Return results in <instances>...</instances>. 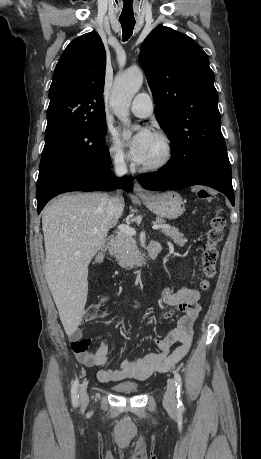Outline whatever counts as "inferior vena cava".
I'll use <instances>...</instances> for the list:
<instances>
[{
  "mask_svg": "<svg viewBox=\"0 0 261 459\" xmlns=\"http://www.w3.org/2000/svg\"><path fill=\"white\" fill-rule=\"evenodd\" d=\"M114 164H115V167H114L115 173L117 176L119 177L124 176L127 173V167H126V163L124 161L123 156H118L115 159ZM123 208H124V200L121 196L116 195V196L110 197L109 212L113 218L118 219L123 212Z\"/></svg>",
  "mask_w": 261,
  "mask_h": 459,
  "instance_id": "inferior-vena-cava-1",
  "label": "inferior vena cava"
}]
</instances>
